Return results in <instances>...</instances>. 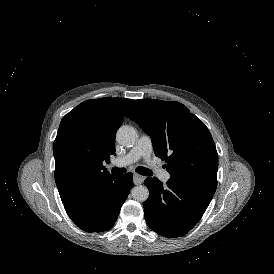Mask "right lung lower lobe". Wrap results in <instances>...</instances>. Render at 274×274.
I'll return each mask as SVG.
<instances>
[{
  "instance_id": "obj_1",
  "label": "right lung lower lobe",
  "mask_w": 274,
  "mask_h": 274,
  "mask_svg": "<svg viewBox=\"0 0 274 274\" xmlns=\"http://www.w3.org/2000/svg\"><path fill=\"white\" fill-rule=\"evenodd\" d=\"M132 187V173L114 175L100 181L85 196L64 207L72 221L82 230L106 231L117 220Z\"/></svg>"
}]
</instances>
